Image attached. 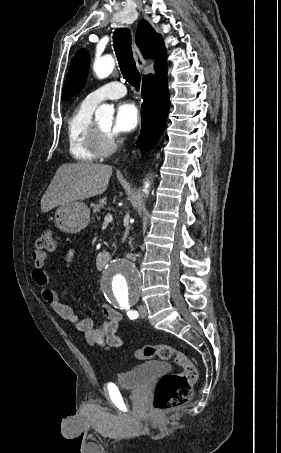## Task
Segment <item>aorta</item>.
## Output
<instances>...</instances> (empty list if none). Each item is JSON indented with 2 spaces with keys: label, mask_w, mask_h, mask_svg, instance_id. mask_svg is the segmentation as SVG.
<instances>
[{
  "label": "aorta",
  "mask_w": 281,
  "mask_h": 453,
  "mask_svg": "<svg viewBox=\"0 0 281 453\" xmlns=\"http://www.w3.org/2000/svg\"><path fill=\"white\" fill-rule=\"evenodd\" d=\"M115 67V60L112 56L106 55L97 58L93 64V70L99 79L108 77ZM114 108L102 104L97 108L95 117L97 120H111ZM149 181L144 184L143 192L148 193ZM141 276L136 267L122 260L111 261L106 265L101 276V291L112 305L126 306L135 302L141 290Z\"/></svg>",
  "instance_id": "obj_1"
}]
</instances>
